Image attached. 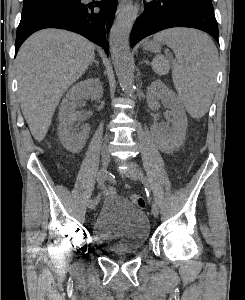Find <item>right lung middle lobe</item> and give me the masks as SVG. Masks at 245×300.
Segmentation results:
<instances>
[{
    "label": "right lung middle lobe",
    "mask_w": 245,
    "mask_h": 300,
    "mask_svg": "<svg viewBox=\"0 0 245 300\" xmlns=\"http://www.w3.org/2000/svg\"><path fill=\"white\" fill-rule=\"evenodd\" d=\"M79 2L80 0H34V1L24 2L21 18L42 11H46L55 7H59L67 4H75Z\"/></svg>",
    "instance_id": "1"
}]
</instances>
